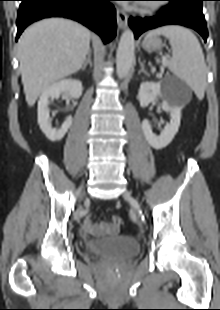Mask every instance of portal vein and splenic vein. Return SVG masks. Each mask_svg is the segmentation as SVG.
<instances>
[{"label": "portal vein and splenic vein", "mask_w": 220, "mask_h": 310, "mask_svg": "<svg viewBox=\"0 0 220 310\" xmlns=\"http://www.w3.org/2000/svg\"><path fill=\"white\" fill-rule=\"evenodd\" d=\"M163 62L166 63V59H163Z\"/></svg>", "instance_id": "obj_1"}]
</instances>
